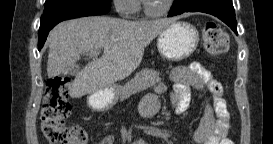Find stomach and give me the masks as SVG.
Instances as JSON below:
<instances>
[{"label": "stomach", "instance_id": "1", "mask_svg": "<svg viewBox=\"0 0 273 144\" xmlns=\"http://www.w3.org/2000/svg\"><path fill=\"white\" fill-rule=\"evenodd\" d=\"M199 34L195 26L183 21H174L165 27L158 36L159 53L168 60L180 61L189 57L197 48ZM120 87L102 89L87 97L88 106L95 111L111 109L119 99Z\"/></svg>", "mask_w": 273, "mask_h": 144}]
</instances>
